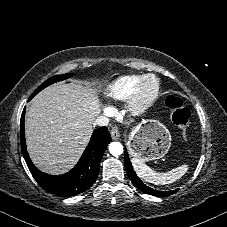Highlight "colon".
I'll list each match as a JSON object with an SVG mask.
<instances>
[{"mask_svg": "<svg viewBox=\"0 0 227 227\" xmlns=\"http://www.w3.org/2000/svg\"><path fill=\"white\" fill-rule=\"evenodd\" d=\"M167 105L173 123L183 134H186L191 116L190 110L185 106L182 98L175 94L168 97Z\"/></svg>", "mask_w": 227, "mask_h": 227, "instance_id": "5ec220e1", "label": "colon"}]
</instances>
